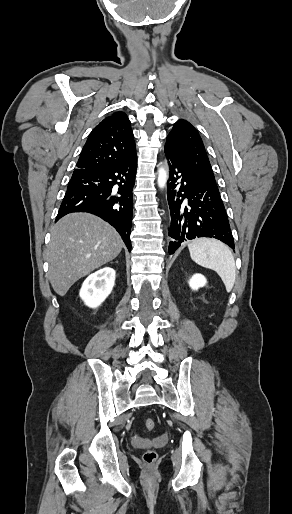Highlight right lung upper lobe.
Here are the masks:
<instances>
[{
  "label": "right lung upper lobe",
  "instance_id": "cb5924a9",
  "mask_svg": "<svg viewBox=\"0 0 292 514\" xmlns=\"http://www.w3.org/2000/svg\"><path fill=\"white\" fill-rule=\"evenodd\" d=\"M136 155L130 120L118 111L101 121L90 133L75 170L101 169Z\"/></svg>",
  "mask_w": 292,
  "mask_h": 514
}]
</instances>
